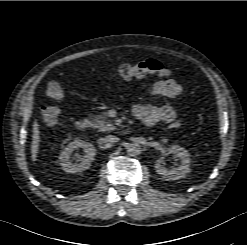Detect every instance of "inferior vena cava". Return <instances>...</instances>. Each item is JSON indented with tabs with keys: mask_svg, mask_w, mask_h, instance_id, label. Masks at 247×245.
<instances>
[{
	"mask_svg": "<svg viewBox=\"0 0 247 245\" xmlns=\"http://www.w3.org/2000/svg\"><path fill=\"white\" fill-rule=\"evenodd\" d=\"M105 142L109 143V144H114L116 142L119 141V138L114 136V135H108L105 137Z\"/></svg>",
	"mask_w": 247,
	"mask_h": 245,
	"instance_id": "602c4592",
	"label": "inferior vena cava"
}]
</instances>
